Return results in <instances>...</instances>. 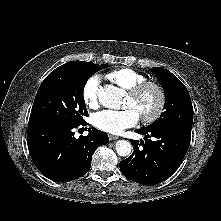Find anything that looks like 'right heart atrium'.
Here are the masks:
<instances>
[{
  "instance_id": "1",
  "label": "right heart atrium",
  "mask_w": 221,
  "mask_h": 221,
  "mask_svg": "<svg viewBox=\"0 0 221 221\" xmlns=\"http://www.w3.org/2000/svg\"><path fill=\"white\" fill-rule=\"evenodd\" d=\"M100 78L98 76L90 77L82 89V98L84 103L91 109H95L100 103Z\"/></svg>"
}]
</instances>
